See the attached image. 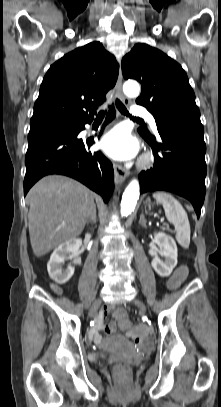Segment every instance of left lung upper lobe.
Segmentation results:
<instances>
[{
  "label": "left lung upper lobe",
  "instance_id": "left-lung-upper-lobe-1",
  "mask_svg": "<svg viewBox=\"0 0 221 407\" xmlns=\"http://www.w3.org/2000/svg\"><path fill=\"white\" fill-rule=\"evenodd\" d=\"M125 79H136L142 92L136 103L147 108L156 124L188 115L200 117L195 94L182 67L162 51L138 43L122 60ZM140 133L149 134L140 128Z\"/></svg>",
  "mask_w": 221,
  "mask_h": 407
}]
</instances>
